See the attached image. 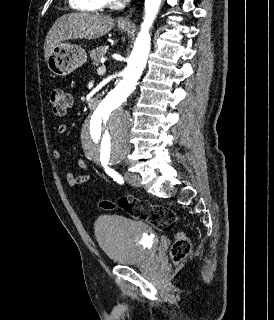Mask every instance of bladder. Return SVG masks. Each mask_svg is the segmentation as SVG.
Returning <instances> with one entry per match:
<instances>
[{"label":"bladder","mask_w":274,"mask_h":320,"mask_svg":"<svg viewBox=\"0 0 274 320\" xmlns=\"http://www.w3.org/2000/svg\"><path fill=\"white\" fill-rule=\"evenodd\" d=\"M94 235L105 256L124 266L150 260L158 242L156 232L147 224L115 215L98 218Z\"/></svg>","instance_id":"obj_1"}]
</instances>
